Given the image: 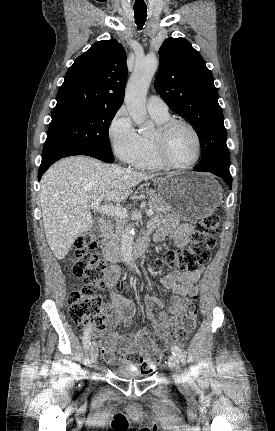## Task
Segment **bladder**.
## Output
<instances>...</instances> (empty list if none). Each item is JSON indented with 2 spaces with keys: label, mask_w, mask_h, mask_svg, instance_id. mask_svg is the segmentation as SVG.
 Masks as SVG:
<instances>
[{
  "label": "bladder",
  "mask_w": 275,
  "mask_h": 431,
  "mask_svg": "<svg viewBox=\"0 0 275 431\" xmlns=\"http://www.w3.org/2000/svg\"><path fill=\"white\" fill-rule=\"evenodd\" d=\"M114 370L120 374V375H130L134 377H144L147 376V373L140 372V371H134L132 368L126 365H115Z\"/></svg>",
  "instance_id": "1"
}]
</instances>
